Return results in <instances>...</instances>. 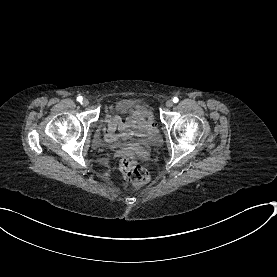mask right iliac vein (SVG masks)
Masks as SVG:
<instances>
[{"instance_id": "obj_1", "label": "right iliac vein", "mask_w": 277, "mask_h": 277, "mask_svg": "<svg viewBox=\"0 0 277 277\" xmlns=\"http://www.w3.org/2000/svg\"><path fill=\"white\" fill-rule=\"evenodd\" d=\"M81 104L83 106H87L89 104V101L87 99H84Z\"/></svg>"}]
</instances>
